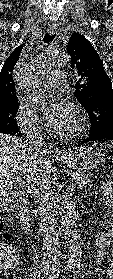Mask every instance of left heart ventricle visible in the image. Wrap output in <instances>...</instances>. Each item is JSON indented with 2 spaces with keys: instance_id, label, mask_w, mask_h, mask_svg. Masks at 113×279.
I'll return each instance as SVG.
<instances>
[{
  "instance_id": "left-heart-ventricle-1",
  "label": "left heart ventricle",
  "mask_w": 113,
  "mask_h": 279,
  "mask_svg": "<svg viewBox=\"0 0 113 279\" xmlns=\"http://www.w3.org/2000/svg\"><path fill=\"white\" fill-rule=\"evenodd\" d=\"M76 120H77L76 114L72 110L71 118L68 121V123L66 124V126L62 129L61 133L64 134V133H68V132L72 131L75 128Z\"/></svg>"
}]
</instances>
